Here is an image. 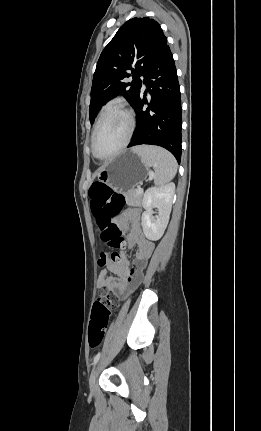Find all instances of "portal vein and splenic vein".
Instances as JSON below:
<instances>
[{
  "mask_svg": "<svg viewBox=\"0 0 261 431\" xmlns=\"http://www.w3.org/2000/svg\"><path fill=\"white\" fill-rule=\"evenodd\" d=\"M153 176V174H150V177H152ZM137 192L138 193H142L143 192V189L139 186L138 187V189H137Z\"/></svg>",
  "mask_w": 261,
  "mask_h": 431,
  "instance_id": "1",
  "label": "portal vein and splenic vein"
}]
</instances>
